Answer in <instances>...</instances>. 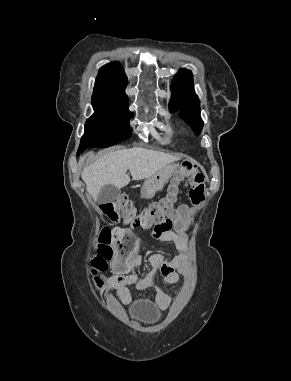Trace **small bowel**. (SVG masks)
<instances>
[{
	"instance_id": "c3829d8e",
	"label": "small bowel",
	"mask_w": 291,
	"mask_h": 381,
	"mask_svg": "<svg viewBox=\"0 0 291 381\" xmlns=\"http://www.w3.org/2000/svg\"><path fill=\"white\" fill-rule=\"evenodd\" d=\"M192 216V208L188 205L178 206L169 220V228L164 230L154 229L152 237L161 242L173 243L179 254L170 260H166L161 253L154 254L149 258V264L153 269V274L144 279H139L133 275H113L106 281L99 277L94 278L96 288L101 292L116 291L119 300L127 305L132 301L129 287L135 286L138 289L146 290L148 288L156 289L155 304L158 309L164 310L170 304V295L166 288L175 284L179 277L187 278L190 273L191 260L188 254L187 226ZM141 244L142 240L136 241ZM140 255L130 252L127 258V266L134 267L141 264ZM162 273L165 276L162 285H157L155 280L156 273Z\"/></svg>"
}]
</instances>
